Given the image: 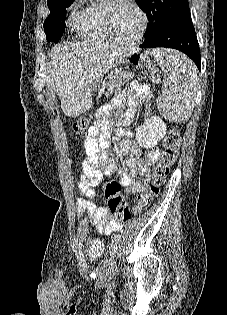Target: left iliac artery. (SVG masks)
Segmentation results:
<instances>
[{
  "mask_svg": "<svg viewBox=\"0 0 227 315\" xmlns=\"http://www.w3.org/2000/svg\"><path fill=\"white\" fill-rule=\"evenodd\" d=\"M120 239H121V236H120L119 234H117V235L114 236V241H115V242H119Z\"/></svg>",
  "mask_w": 227,
  "mask_h": 315,
  "instance_id": "left-iliac-artery-1",
  "label": "left iliac artery"
}]
</instances>
